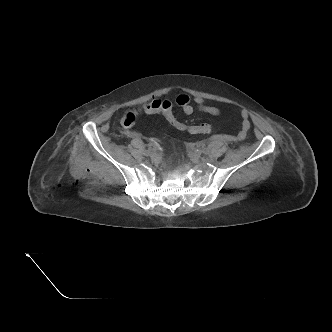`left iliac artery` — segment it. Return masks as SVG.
I'll use <instances>...</instances> for the list:
<instances>
[{
    "mask_svg": "<svg viewBox=\"0 0 332 332\" xmlns=\"http://www.w3.org/2000/svg\"><path fill=\"white\" fill-rule=\"evenodd\" d=\"M196 153L199 154V155H201V154H208V151L206 149H204V148H198L196 150Z\"/></svg>",
    "mask_w": 332,
    "mask_h": 332,
    "instance_id": "obj_1",
    "label": "left iliac artery"
}]
</instances>
